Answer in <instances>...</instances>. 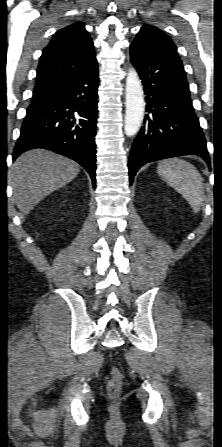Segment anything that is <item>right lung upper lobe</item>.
I'll use <instances>...</instances> for the list:
<instances>
[{
  "label": "right lung upper lobe",
  "instance_id": "1",
  "mask_svg": "<svg viewBox=\"0 0 222 447\" xmlns=\"http://www.w3.org/2000/svg\"><path fill=\"white\" fill-rule=\"evenodd\" d=\"M95 59L93 42L82 22L57 31L43 49L33 100L47 96L86 69Z\"/></svg>",
  "mask_w": 222,
  "mask_h": 447
}]
</instances>
